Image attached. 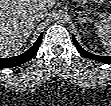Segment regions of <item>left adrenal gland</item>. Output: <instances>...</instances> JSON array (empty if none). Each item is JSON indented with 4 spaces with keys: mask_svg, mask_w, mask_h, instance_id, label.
I'll list each match as a JSON object with an SVG mask.
<instances>
[{
    "mask_svg": "<svg viewBox=\"0 0 111 106\" xmlns=\"http://www.w3.org/2000/svg\"><path fill=\"white\" fill-rule=\"evenodd\" d=\"M76 13L78 14V21H79L80 23H82V22L84 23V22H86V21L89 20V18L83 16L82 13H81L79 10H76Z\"/></svg>",
    "mask_w": 111,
    "mask_h": 106,
    "instance_id": "obj_1",
    "label": "left adrenal gland"
}]
</instances>
